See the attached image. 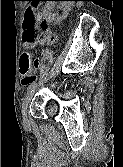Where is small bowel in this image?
Listing matches in <instances>:
<instances>
[{
	"instance_id": "1",
	"label": "small bowel",
	"mask_w": 123,
	"mask_h": 167,
	"mask_svg": "<svg viewBox=\"0 0 123 167\" xmlns=\"http://www.w3.org/2000/svg\"><path fill=\"white\" fill-rule=\"evenodd\" d=\"M46 41H55V37L52 36L51 32L49 30H46L44 32L43 37L40 39L39 43L44 44ZM21 83L23 86H27L32 84V82L35 80V73H34V68L29 67L27 74H23L21 71Z\"/></svg>"
}]
</instances>
